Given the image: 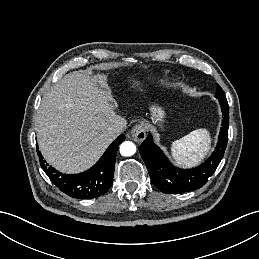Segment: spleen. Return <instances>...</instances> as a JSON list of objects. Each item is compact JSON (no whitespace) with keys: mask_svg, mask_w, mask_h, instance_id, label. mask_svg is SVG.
<instances>
[{"mask_svg":"<svg viewBox=\"0 0 259 259\" xmlns=\"http://www.w3.org/2000/svg\"><path fill=\"white\" fill-rule=\"evenodd\" d=\"M211 137L207 129H197L172 143L171 154L178 166L198 164L210 149Z\"/></svg>","mask_w":259,"mask_h":259,"instance_id":"obj_1","label":"spleen"}]
</instances>
